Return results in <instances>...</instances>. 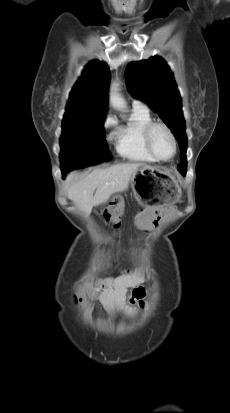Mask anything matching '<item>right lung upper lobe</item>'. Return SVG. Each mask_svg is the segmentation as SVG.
Returning a JSON list of instances; mask_svg holds the SVG:
<instances>
[{"mask_svg":"<svg viewBox=\"0 0 230 413\" xmlns=\"http://www.w3.org/2000/svg\"><path fill=\"white\" fill-rule=\"evenodd\" d=\"M109 81L108 65L97 60L90 62L70 92L63 123L86 122L105 117Z\"/></svg>","mask_w":230,"mask_h":413,"instance_id":"1","label":"right lung upper lobe"}]
</instances>
